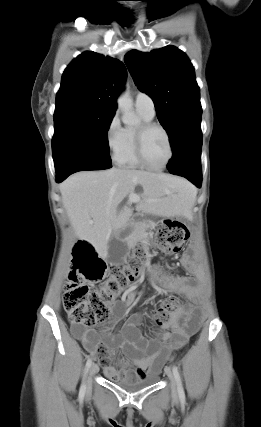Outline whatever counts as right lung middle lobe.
<instances>
[{
  "label": "right lung middle lobe",
  "instance_id": "dd1d6c3e",
  "mask_svg": "<svg viewBox=\"0 0 261 427\" xmlns=\"http://www.w3.org/2000/svg\"><path fill=\"white\" fill-rule=\"evenodd\" d=\"M114 114L89 107L55 110L52 139L54 164L66 160L111 164L107 131Z\"/></svg>",
  "mask_w": 261,
  "mask_h": 427
}]
</instances>
